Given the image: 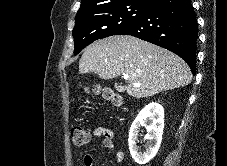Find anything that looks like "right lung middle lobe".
Wrapping results in <instances>:
<instances>
[{
  "label": "right lung middle lobe",
  "mask_w": 227,
  "mask_h": 166,
  "mask_svg": "<svg viewBox=\"0 0 227 166\" xmlns=\"http://www.w3.org/2000/svg\"><path fill=\"white\" fill-rule=\"evenodd\" d=\"M150 7L140 3H125L77 14L73 29L74 54L77 55L95 40L117 35L141 19Z\"/></svg>",
  "instance_id": "right-lung-middle-lobe-1"
}]
</instances>
